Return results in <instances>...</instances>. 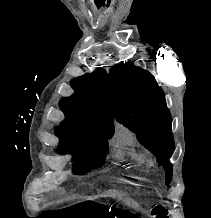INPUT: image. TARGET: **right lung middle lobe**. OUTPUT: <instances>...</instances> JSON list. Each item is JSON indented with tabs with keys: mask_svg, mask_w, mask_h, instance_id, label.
<instances>
[{
	"mask_svg": "<svg viewBox=\"0 0 211 218\" xmlns=\"http://www.w3.org/2000/svg\"><path fill=\"white\" fill-rule=\"evenodd\" d=\"M61 146L80 148L83 155L75 161L74 173L77 175L90 172L100 167L106 157L111 134L101 130H90L61 123L55 130Z\"/></svg>",
	"mask_w": 211,
	"mask_h": 218,
	"instance_id": "1",
	"label": "right lung middle lobe"
}]
</instances>
